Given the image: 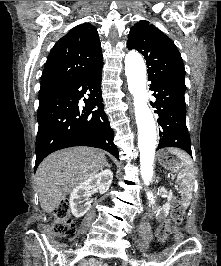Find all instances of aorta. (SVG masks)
Masks as SVG:
<instances>
[{
	"label": "aorta",
	"mask_w": 221,
	"mask_h": 266,
	"mask_svg": "<svg viewBox=\"0 0 221 266\" xmlns=\"http://www.w3.org/2000/svg\"><path fill=\"white\" fill-rule=\"evenodd\" d=\"M125 74L128 89L134 100V113L138 127V148L140 152V172L145 185H149L153 177V163L157 144L156 124L147 105V73L142 56L130 51L125 57ZM153 203V194L147 192Z\"/></svg>",
	"instance_id": "aorta-1"
}]
</instances>
